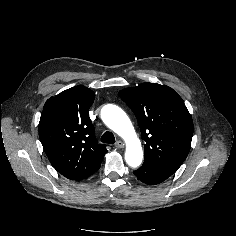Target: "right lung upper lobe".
Masks as SVG:
<instances>
[{"label":"right lung upper lobe","instance_id":"1","mask_svg":"<svg viewBox=\"0 0 236 236\" xmlns=\"http://www.w3.org/2000/svg\"><path fill=\"white\" fill-rule=\"evenodd\" d=\"M95 94L84 86L48 99L39 122V137L53 167L70 180L96 172L107 150L98 144L88 110Z\"/></svg>","mask_w":236,"mask_h":236}]
</instances>
